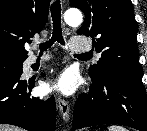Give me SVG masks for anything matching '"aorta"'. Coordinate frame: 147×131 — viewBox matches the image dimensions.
Returning <instances> with one entry per match:
<instances>
[{"label":"aorta","mask_w":147,"mask_h":131,"mask_svg":"<svg viewBox=\"0 0 147 131\" xmlns=\"http://www.w3.org/2000/svg\"><path fill=\"white\" fill-rule=\"evenodd\" d=\"M64 21L69 26L76 27L82 22V14L77 9H69L64 14Z\"/></svg>","instance_id":"obj_1"}]
</instances>
